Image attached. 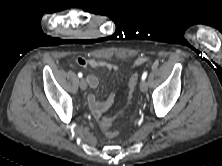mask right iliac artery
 <instances>
[{
    "mask_svg": "<svg viewBox=\"0 0 222 166\" xmlns=\"http://www.w3.org/2000/svg\"><path fill=\"white\" fill-rule=\"evenodd\" d=\"M83 74L81 72L78 73V77L81 78Z\"/></svg>",
    "mask_w": 222,
    "mask_h": 166,
    "instance_id": "82829eb1",
    "label": "right iliac artery"
}]
</instances>
